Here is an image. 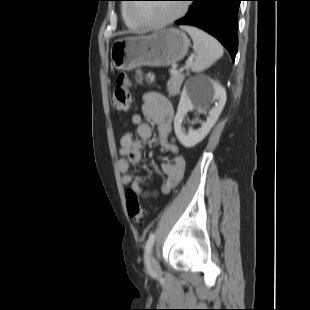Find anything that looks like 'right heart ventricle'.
Returning <instances> with one entry per match:
<instances>
[{"label": "right heart ventricle", "mask_w": 310, "mask_h": 310, "mask_svg": "<svg viewBox=\"0 0 310 310\" xmlns=\"http://www.w3.org/2000/svg\"><path fill=\"white\" fill-rule=\"evenodd\" d=\"M127 7H128V5H126V4H124V5L122 6V16H123V19H124L125 24H126L129 28H131V29H138V28H140V26H139L136 22H134L133 20H131V19L129 18V16H128V14H127Z\"/></svg>", "instance_id": "1"}]
</instances>
